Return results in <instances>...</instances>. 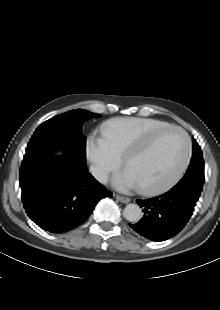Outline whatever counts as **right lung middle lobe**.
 <instances>
[{"instance_id": "right-lung-middle-lobe-1", "label": "right lung middle lobe", "mask_w": 220, "mask_h": 310, "mask_svg": "<svg viewBox=\"0 0 220 310\" xmlns=\"http://www.w3.org/2000/svg\"><path fill=\"white\" fill-rule=\"evenodd\" d=\"M93 117H100V115L77 109L43 122L31 137L24 159L50 152L57 146L85 155L86 137L81 131L83 124Z\"/></svg>"}]
</instances>
